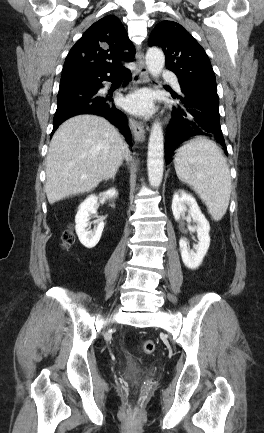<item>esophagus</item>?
Returning a JSON list of instances; mask_svg holds the SVG:
<instances>
[{"label":"esophagus","mask_w":264,"mask_h":433,"mask_svg":"<svg viewBox=\"0 0 264 433\" xmlns=\"http://www.w3.org/2000/svg\"><path fill=\"white\" fill-rule=\"evenodd\" d=\"M136 63L137 69L133 74V82L134 84H143L149 81L148 70L145 66L144 56L142 52L136 53ZM130 127L132 129L134 138L138 142H142L145 139V129L141 122L136 121L134 119H130Z\"/></svg>","instance_id":"34e87169"}]
</instances>
